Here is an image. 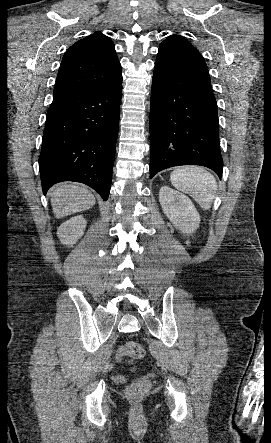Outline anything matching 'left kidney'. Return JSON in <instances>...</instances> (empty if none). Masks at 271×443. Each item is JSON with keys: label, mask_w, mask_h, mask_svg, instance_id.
<instances>
[{"label": "left kidney", "mask_w": 271, "mask_h": 443, "mask_svg": "<svg viewBox=\"0 0 271 443\" xmlns=\"http://www.w3.org/2000/svg\"><path fill=\"white\" fill-rule=\"evenodd\" d=\"M159 202L164 214L168 216L170 222L181 229L182 233H193L199 227L200 216L194 204L184 194L168 186H162Z\"/></svg>", "instance_id": "obj_1"}]
</instances>
